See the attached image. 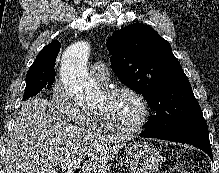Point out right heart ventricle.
<instances>
[{"label":"right heart ventricle","instance_id":"right-heart-ventricle-1","mask_svg":"<svg viewBox=\"0 0 219 173\" xmlns=\"http://www.w3.org/2000/svg\"><path fill=\"white\" fill-rule=\"evenodd\" d=\"M89 122L87 127L93 130L101 129V124L95 112L88 113Z\"/></svg>","mask_w":219,"mask_h":173}]
</instances>
